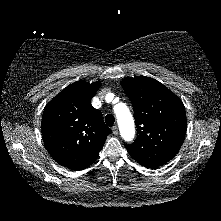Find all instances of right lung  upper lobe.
<instances>
[{
  "mask_svg": "<svg viewBox=\"0 0 221 221\" xmlns=\"http://www.w3.org/2000/svg\"><path fill=\"white\" fill-rule=\"evenodd\" d=\"M100 86V81L72 83L44 109V144L54 160L64 167L72 170L87 168L96 160L111 133L101 112L91 105Z\"/></svg>",
  "mask_w": 221,
  "mask_h": 221,
  "instance_id": "cb5924a9",
  "label": "right lung upper lobe"
}]
</instances>
